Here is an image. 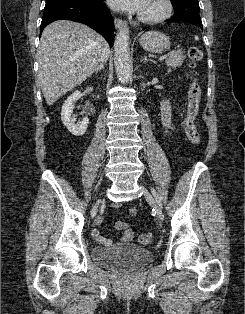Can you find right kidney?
Instances as JSON below:
<instances>
[{
	"label": "right kidney",
	"mask_w": 245,
	"mask_h": 314,
	"mask_svg": "<svg viewBox=\"0 0 245 314\" xmlns=\"http://www.w3.org/2000/svg\"><path fill=\"white\" fill-rule=\"evenodd\" d=\"M93 88L90 87L87 91H92ZM82 96L80 91H75L70 95L64 102L61 111V120L66 128L75 136H82L87 131L89 119L84 117L81 122L75 123V118L73 117V110L75 102L79 100Z\"/></svg>",
	"instance_id": "obj_1"
}]
</instances>
